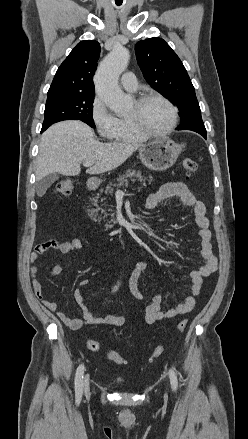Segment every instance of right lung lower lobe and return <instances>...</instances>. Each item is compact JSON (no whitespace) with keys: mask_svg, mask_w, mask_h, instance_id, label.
Wrapping results in <instances>:
<instances>
[{"mask_svg":"<svg viewBox=\"0 0 248 439\" xmlns=\"http://www.w3.org/2000/svg\"><path fill=\"white\" fill-rule=\"evenodd\" d=\"M45 130H46L45 128H42L41 133H42L43 131H45Z\"/></svg>","mask_w":248,"mask_h":439,"instance_id":"right-lung-lower-lobe-1","label":"right lung lower lobe"}]
</instances>
